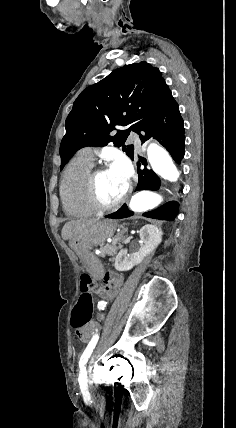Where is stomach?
<instances>
[{"instance_id": "0dacf381", "label": "stomach", "mask_w": 236, "mask_h": 428, "mask_svg": "<svg viewBox=\"0 0 236 428\" xmlns=\"http://www.w3.org/2000/svg\"><path fill=\"white\" fill-rule=\"evenodd\" d=\"M114 234V226L107 220H97L92 226H87L78 238L70 240L69 246L80 258L83 268L90 269L94 280H99L105 269L104 262H100L97 256H93V246H102L107 238Z\"/></svg>"}]
</instances>
